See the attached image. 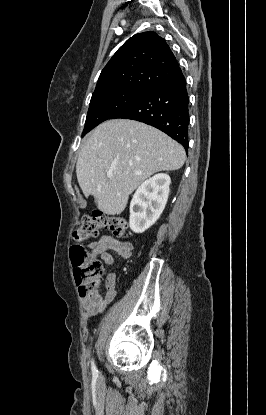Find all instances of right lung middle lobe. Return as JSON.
Instances as JSON below:
<instances>
[{
  "label": "right lung middle lobe",
  "instance_id": "1",
  "mask_svg": "<svg viewBox=\"0 0 266 415\" xmlns=\"http://www.w3.org/2000/svg\"><path fill=\"white\" fill-rule=\"evenodd\" d=\"M148 93V90L118 88L93 94L82 135L110 119L117 112L143 99Z\"/></svg>",
  "mask_w": 266,
  "mask_h": 415
}]
</instances>
